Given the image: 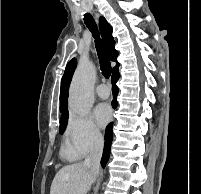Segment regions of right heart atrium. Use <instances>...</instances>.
<instances>
[{
  "mask_svg": "<svg viewBox=\"0 0 201 194\" xmlns=\"http://www.w3.org/2000/svg\"><path fill=\"white\" fill-rule=\"evenodd\" d=\"M103 136L89 116L71 115L65 131L64 153L70 158H82L98 149Z\"/></svg>",
  "mask_w": 201,
  "mask_h": 194,
  "instance_id": "right-heart-atrium-1",
  "label": "right heart atrium"
}]
</instances>
